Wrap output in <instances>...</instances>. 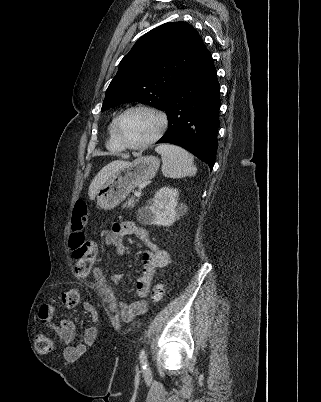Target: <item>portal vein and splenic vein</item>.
Wrapping results in <instances>:
<instances>
[{
	"label": "portal vein and splenic vein",
	"mask_w": 321,
	"mask_h": 402,
	"mask_svg": "<svg viewBox=\"0 0 321 402\" xmlns=\"http://www.w3.org/2000/svg\"><path fill=\"white\" fill-rule=\"evenodd\" d=\"M134 195H135L136 197H140V196H141V191H136V192L134 193Z\"/></svg>",
	"instance_id": "portal-vein-and-splenic-vein-1"
}]
</instances>
